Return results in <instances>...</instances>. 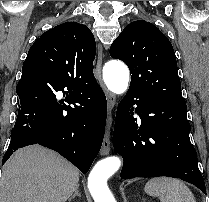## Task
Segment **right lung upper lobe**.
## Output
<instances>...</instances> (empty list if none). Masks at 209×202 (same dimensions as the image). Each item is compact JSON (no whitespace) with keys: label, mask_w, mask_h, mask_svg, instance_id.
I'll return each mask as SVG.
<instances>
[{"label":"right lung upper lobe","mask_w":209,"mask_h":202,"mask_svg":"<svg viewBox=\"0 0 209 202\" xmlns=\"http://www.w3.org/2000/svg\"><path fill=\"white\" fill-rule=\"evenodd\" d=\"M95 54L96 43L90 29L77 22H65L34 42L22 74L47 72L81 90L97 82L93 74Z\"/></svg>","instance_id":"1"}]
</instances>
